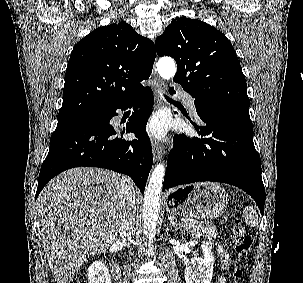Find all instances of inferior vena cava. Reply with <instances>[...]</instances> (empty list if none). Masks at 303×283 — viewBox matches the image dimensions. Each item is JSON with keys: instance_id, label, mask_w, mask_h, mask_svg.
Instances as JSON below:
<instances>
[{"instance_id": "1", "label": "inferior vena cava", "mask_w": 303, "mask_h": 283, "mask_svg": "<svg viewBox=\"0 0 303 283\" xmlns=\"http://www.w3.org/2000/svg\"><path fill=\"white\" fill-rule=\"evenodd\" d=\"M119 194L123 205L121 222L119 224V236L126 241V239L131 237V233L133 232V216L136 211L133 182L129 177H122Z\"/></svg>"}]
</instances>
